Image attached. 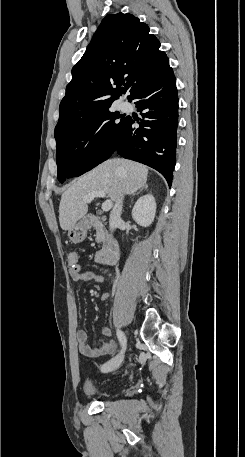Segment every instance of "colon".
Returning <instances> with one entry per match:
<instances>
[{
  "instance_id": "obj_1",
  "label": "colon",
  "mask_w": 245,
  "mask_h": 457,
  "mask_svg": "<svg viewBox=\"0 0 245 457\" xmlns=\"http://www.w3.org/2000/svg\"><path fill=\"white\" fill-rule=\"evenodd\" d=\"M68 262L72 269L77 270L80 268L78 264V255L75 252H70L68 254Z\"/></svg>"
}]
</instances>
